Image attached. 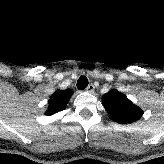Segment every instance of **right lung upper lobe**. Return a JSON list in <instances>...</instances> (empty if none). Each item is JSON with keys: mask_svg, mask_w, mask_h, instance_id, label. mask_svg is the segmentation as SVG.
<instances>
[{"mask_svg": "<svg viewBox=\"0 0 164 164\" xmlns=\"http://www.w3.org/2000/svg\"><path fill=\"white\" fill-rule=\"evenodd\" d=\"M72 95V90L66 89L64 91L57 90L50 98L48 104L49 108L46 115H52L58 111L66 108V105Z\"/></svg>", "mask_w": 164, "mask_h": 164, "instance_id": "cb5924a9", "label": "right lung upper lobe"}]
</instances>
